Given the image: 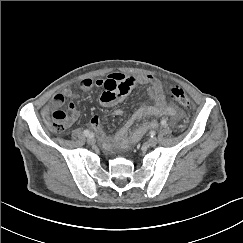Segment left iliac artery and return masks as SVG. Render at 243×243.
Wrapping results in <instances>:
<instances>
[{
    "instance_id": "obj_1",
    "label": "left iliac artery",
    "mask_w": 243,
    "mask_h": 243,
    "mask_svg": "<svg viewBox=\"0 0 243 243\" xmlns=\"http://www.w3.org/2000/svg\"><path fill=\"white\" fill-rule=\"evenodd\" d=\"M160 124H161V126L165 127L167 125V122H166V120L163 119L160 121ZM153 135H155V133H153L151 137H153Z\"/></svg>"
}]
</instances>
